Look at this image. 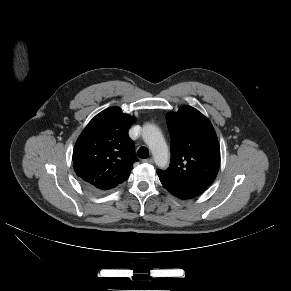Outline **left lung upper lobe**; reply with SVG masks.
Returning a JSON list of instances; mask_svg holds the SVG:
<instances>
[{
    "mask_svg": "<svg viewBox=\"0 0 291 291\" xmlns=\"http://www.w3.org/2000/svg\"><path fill=\"white\" fill-rule=\"evenodd\" d=\"M171 134V161L167 170H157L177 181L205 190L216 178L220 147L207 117L191 106L166 117Z\"/></svg>",
    "mask_w": 291,
    "mask_h": 291,
    "instance_id": "left-lung-upper-lobe-1",
    "label": "left lung upper lobe"
}]
</instances>
